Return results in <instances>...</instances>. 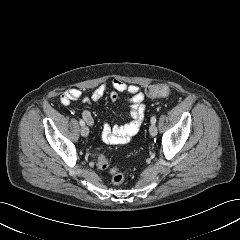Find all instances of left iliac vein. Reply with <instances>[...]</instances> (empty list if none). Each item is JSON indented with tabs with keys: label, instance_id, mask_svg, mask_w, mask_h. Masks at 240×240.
Instances as JSON below:
<instances>
[{
	"label": "left iliac vein",
	"instance_id": "obj_1",
	"mask_svg": "<svg viewBox=\"0 0 240 240\" xmlns=\"http://www.w3.org/2000/svg\"><path fill=\"white\" fill-rule=\"evenodd\" d=\"M149 133L151 136H156L157 135V127L155 124H151L149 127Z\"/></svg>",
	"mask_w": 240,
	"mask_h": 240
}]
</instances>
